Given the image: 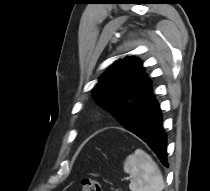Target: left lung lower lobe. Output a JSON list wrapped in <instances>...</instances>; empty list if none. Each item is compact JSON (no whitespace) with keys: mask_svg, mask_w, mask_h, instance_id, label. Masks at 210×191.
Segmentation results:
<instances>
[{"mask_svg":"<svg viewBox=\"0 0 210 191\" xmlns=\"http://www.w3.org/2000/svg\"><path fill=\"white\" fill-rule=\"evenodd\" d=\"M134 111V112H132ZM128 122H136L129 130L140 137L154 151L164 166L167 162V139L162 126L161 110L153 90L141 103L129 111Z\"/></svg>","mask_w":210,"mask_h":191,"instance_id":"1","label":"left lung lower lobe"}]
</instances>
